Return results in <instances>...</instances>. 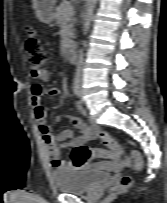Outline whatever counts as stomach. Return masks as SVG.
<instances>
[{
    "instance_id": "stomach-1",
    "label": "stomach",
    "mask_w": 167,
    "mask_h": 203,
    "mask_svg": "<svg viewBox=\"0 0 167 203\" xmlns=\"http://www.w3.org/2000/svg\"><path fill=\"white\" fill-rule=\"evenodd\" d=\"M55 2L56 0H32L33 9L41 22L49 24L55 19Z\"/></svg>"
}]
</instances>
